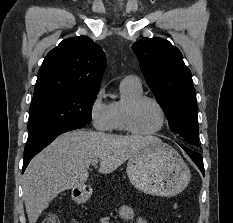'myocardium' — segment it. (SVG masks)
Listing matches in <instances>:
<instances>
[{
	"instance_id": "1",
	"label": "myocardium",
	"mask_w": 233,
	"mask_h": 223,
	"mask_svg": "<svg viewBox=\"0 0 233 223\" xmlns=\"http://www.w3.org/2000/svg\"><path fill=\"white\" fill-rule=\"evenodd\" d=\"M146 101L153 102L159 108L162 114V118H163L161 127L157 129L156 131L149 132V133L142 132L138 130L137 127L135 126L136 111L139 108V106ZM124 118H125V127L127 131L139 137H152V136L159 135L165 130L168 124V114H167L165 107L162 105V103L158 99L152 96H148V95H141L131 100L130 102H128V104L125 107Z\"/></svg>"
}]
</instances>
